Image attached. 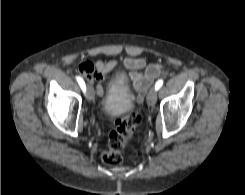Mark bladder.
Returning a JSON list of instances; mask_svg holds the SVG:
<instances>
[{"mask_svg": "<svg viewBox=\"0 0 245 195\" xmlns=\"http://www.w3.org/2000/svg\"><path fill=\"white\" fill-rule=\"evenodd\" d=\"M133 106L128 87L121 77L113 80L102 99V110L111 116L127 113Z\"/></svg>", "mask_w": 245, "mask_h": 195, "instance_id": "bladder-1", "label": "bladder"}]
</instances>
